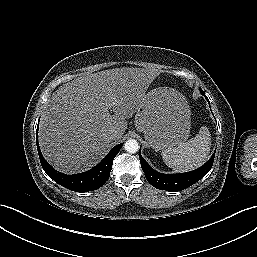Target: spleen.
I'll list each match as a JSON object with an SVG mask.
<instances>
[{
  "label": "spleen",
  "instance_id": "3e777b00",
  "mask_svg": "<svg viewBox=\"0 0 257 257\" xmlns=\"http://www.w3.org/2000/svg\"><path fill=\"white\" fill-rule=\"evenodd\" d=\"M211 135L207 127H201L198 134L188 142L162 151L165 164L176 172L194 170L204 164L209 156Z\"/></svg>",
  "mask_w": 257,
  "mask_h": 257
}]
</instances>
